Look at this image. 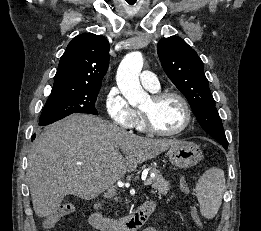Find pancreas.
I'll return each instance as SVG.
<instances>
[{
  "label": "pancreas",
  "mask_w": 261,
  "mask_h": 231,
  "mask_svg": "<svg viewBox=\"0 0 261 231\" xmlns=\"http://www.w3.org/2000/svg\"><path fill=\"white\" fill-rule=\"evenodd\" d=\"M149 173L154 174V177L150 178V180H151V186L155 190V192L166 195L170 189L169 182H167L163 178L159 170H157L156 168L150 167Z\"/></svg>",
  "instance_id": "pancreas-1"
}]
</instances>
